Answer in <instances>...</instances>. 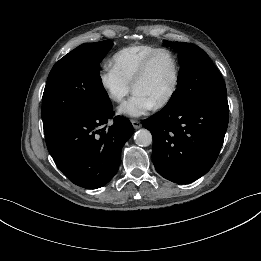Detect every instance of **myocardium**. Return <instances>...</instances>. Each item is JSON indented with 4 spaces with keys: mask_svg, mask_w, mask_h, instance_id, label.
Listing matches in <instances>:
<instances>
[{
    "mask_svg": "<svg viewBox=\"0 0 261 261\" xmlns=\"http://www.w3.org/2000/svg\"><path fill=\"white\" fill-rule=\"evenodd\" d=\"M160 53H166L171 57V59L173 61V65H174V77H173V82L170 87V90L168 91L166 96L161 101H159L157 104H155L156 109H161V108L165 107L166 105H168L177 92L178 85H179V79H180V65H179L177 55L172 50H170L168 48H164V47H160V48L154 50L144 59L136 76L134 77V79L131 83L132 89H134V87L146 77L153 59Z\"/></svg>",
    "mask_w": 261,
    "mask_h": 261,
    "instance_id": "1",
    "label": "myocardium"
}]
</instances>
